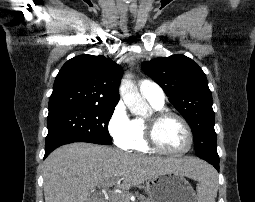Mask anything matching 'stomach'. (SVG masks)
<instances>
[{"mask_svg":"<svg viewBox=\"0 0 255 202\" xmlns=\"http://www.w3.org/2000/svg\"><path fill=\"white\" fill-rule=\"evenodd\" d=\"M146 186L150 202H197V196L184 175L166 172L150 179Z\"/></svg>","mask_w":255,"mask_h":202,"instance_id":"0dacf381","label":"stomach"}]
</instances>
